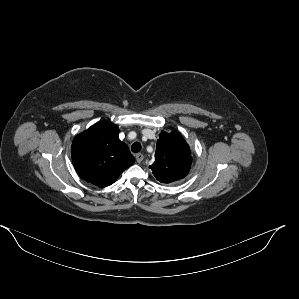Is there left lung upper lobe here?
Returning a JSON list of instances; mask_svg holds the SVG:
<instances>
[{
	"mask_svg": "<svg viewBox=\"0 0 299 299\" xmlns=\"http://www.w3.org/2000/svg\"><path fill=\"white\" fill-rule=\"evenodd\" d=\"M192 163L191 151L184 138L177 132H161L156 144L155 162L149 167L161 183L183 179Z\"/></svg>",
	"mask_w": 299,
	"mask_h": 299,
	"instance_id": "obj_1",
	"label": "left lung upper lobe"
}]
</instances>
